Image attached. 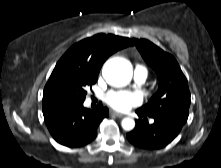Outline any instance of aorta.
<instances>
[{"instance_id": "obj_1", "label": "aorta", "mask_w": 221, "mask_h": 168, "mask_svg": "<svg viewBox=\"0 0 221 168\" xmlns=\"http://www.w3.org/2000/svg\"><path fill=\"white\" fill-rule=\"evenodd\" d=\"M102 73L108 84L114 87H123L130 83L133 68L127 59L114 57L104 64ZM121 125L124 130L131 131L135 127V121L126 117L122 120Z\"/></svg>"}]
</instances>
